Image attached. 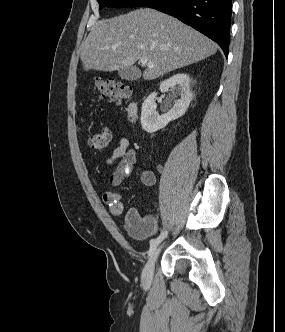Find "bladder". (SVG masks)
<instances>
[{"instance_id":"bladder-1","label":"bladder","mask_w":285,"mask_h":332,"mask_svg":"<svg viewBox=\"0 0 285 332\" xmlns=\"http://www.w3.org/2000/svg\"><path fill=\"white\" fill-rule=\"evenodd\" d=\"M128 233L136 239H145L155 232V221L151 216H137L126 222Z\"/></svg>"}]
</instances>
